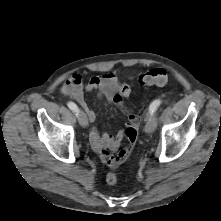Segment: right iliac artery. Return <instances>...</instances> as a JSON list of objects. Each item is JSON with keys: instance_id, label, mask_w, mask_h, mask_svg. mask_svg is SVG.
Returning a JSON list of instances; mask_svg holds the SVG:
<instances>
[{"instance_id": "right-iliac-artery-1", "label": "right iliac artery", "mask_w": 221, "mask_h": 221, "mask_svg": "<svg viewBox=\"0 0 221 221\" xmlns=\"http://www.w3.org/2000/svg\"><path fill=\"white\" fill-rule=\"evenodd\" d=\"M68 107L73 111L75 112L76 114L78 113V107L75 103L73 102H68Z\"/></svg>"}]
</instances>
